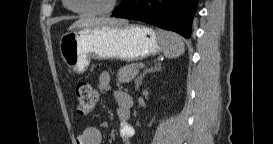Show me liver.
I'll list each match as a JSON object with an SVG mask.
<instances>
[{
    "mask_svg": "<svg viewBox=\"0 0 273 144\" xmlns=\"http://www.w3.org/2000/svg\"><path fill=\"white\" fill-rule=\"evenodd\" d=\"M128 21L124 19H114V18H80L76 22H74L70 27L69 31H73L76 29L84 28V27H97L102 25H110V26H126Z\"/></svg>",
    "mask_w": 273,
    "mask_h": 144,
    "instance_id": "obj_1",
    "label": "liver"
}]
</instances>
